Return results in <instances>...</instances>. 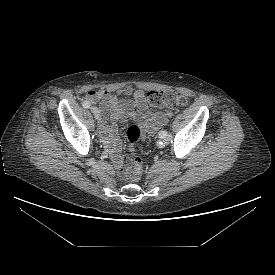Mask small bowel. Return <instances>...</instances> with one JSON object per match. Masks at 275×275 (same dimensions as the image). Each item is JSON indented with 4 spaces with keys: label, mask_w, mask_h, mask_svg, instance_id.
Returning a JSON list of instances; mask_svg holds the SVG:
<instances>
[{
    "label": "small bowel",
    "mask_w": 275,
    "mask_h": 275,
    "mask_svg": "<svg viewBox=\"0 0 275 275\" xmlns=\"http://www.w3.org/2000/svg\"><path fill=\"white\" fill-rule=\"evenodd\" d=\"M117 94L132 96V99L120 100L117 95L111 94L108 90L90 91L87 98L101 106L100 139L109 150L114 166L121 169L128 159L121 155L123 145L118 136L117 122L127 119L137 122L144 133L143 139L148 140L155 131L168 122L170 112L155 111L150 108L146 102V94L141 89L134 90L126 86ZM121 174L125 175L124 170Z\"/></svg>",
    "instance_id": "obj_1"
}]
</instances>
